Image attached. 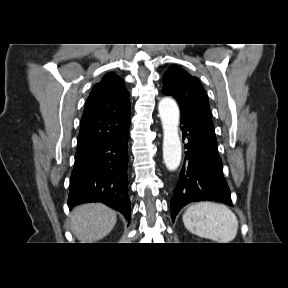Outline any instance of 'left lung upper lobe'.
Returning <instances> with one entry per match:
<instances>
[{
    "label": "left lung upper lobe",
    "instance_id": "obj_1",
    "mask_svg": "<svg viewBox=\"0 0 288 288\" xmlns=\"http://www.w3.org/2000/svg\"><path fill=\"white\" fill-rule=\"evenodd\" d=\"M162 80V92L176 98L181 108V116L196 118L214 131L208 97L198 78L173 65L163 75Z\"/></svg>",
    "mask_w": 288,
    "mask_h": 288
}]
</instances>
